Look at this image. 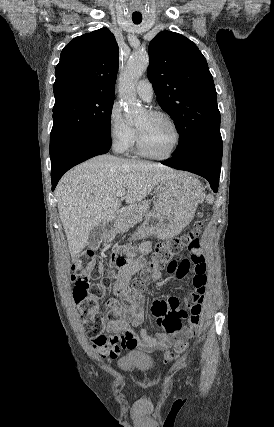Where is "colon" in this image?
I'll return each instance as SVG.
<instances>
[{"label": "colon", "mask_w": 274, "mask_h": 427, "mask_svg": "<svg viewBox=\"0 0 274 427\" xmlns=\"http://www.w3.org/2000/svg\"><path fill=\"white\" fill-rule=\"evenodd\" d=\"M203 229V223L201 220L195 221L192 228L187 231L184 235L179 237L166 240L160 243L152 256L151 268L159 267L165 268L167 263L176 260L181 257L186 250H190V245L185 243V238L188 236H201ZM184 251V252H183ZM138 256V249L136 247H129L127 254L125 252H116L112 256V262L117 265H123L129 258H136ZM100 263L97 260L89 259L87 256H79L71 264V275L79 276L75 280L74 291L78 297H83L80 301H75V304L81 305L82 313L81 320L84 328L87 332V336L97 338L100 333L104 330L105 318L97 312V304L93 299H85L88 294L89 283L87 279H90L93 274H96L100 270ZM103 283L106 287H110L112 284V278L109 276L103 279ZM135 287L140 288L139 283L134 284ZM113 310L109 311L110 316H114ZM125 339V337H124ZM188 348L187 342H182L181 345H175L174 350H167L164 356L165 364H173L176 359L178 364H189L191 358L186 354Z\"/></svg>", "instance_id": "obj_1"}]
</instances>
